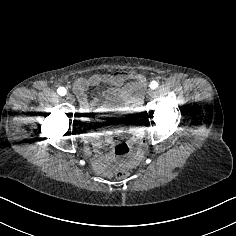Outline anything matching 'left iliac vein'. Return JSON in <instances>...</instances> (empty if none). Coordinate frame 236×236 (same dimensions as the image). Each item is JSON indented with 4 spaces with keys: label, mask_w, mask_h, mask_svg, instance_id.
<instances>
[{
    "label": "left iliac vein",
    "mask_w": 236,
    "mask_h": 236,
    "mask_svg": "<svg viewBox=\"0 0 236 236\" xmlns=\"http://www.w3.org/2000/svg\"><path fill=\"white\" fill-rule=\"evenodd\" d=\"M145 93H146V95H148L150 98H153V99L156 98V96H157L156 92L153 89H150V90L148 89V90H146Z\"/></svg>",
    "instance_id": "4c4485c4"
}]
</instances>
